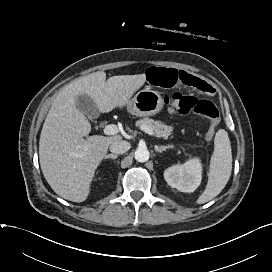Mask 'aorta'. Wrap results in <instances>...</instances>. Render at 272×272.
<instances>
[{
  "instance_id": "1",
  "label": "aorta",
  "mask_w": 272,
  "mask_h": 272,
  "mask_svg": "<svg viewBox=\"0 0 272 272\" xmlns=\"http://www.w3.org/2000/svg\"><path fill=\"white\" fill-rule=\"evenodd\" d=\"M134 157H135L136 161L144 163L149 160L150 153L147 148L140 147V148L136 149Z\"/></svg>"
}]
</instances>
